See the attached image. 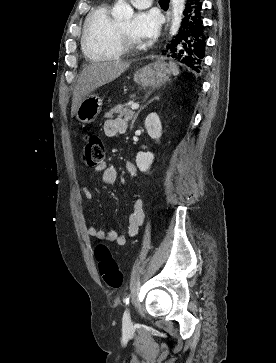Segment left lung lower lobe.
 I'll return each mask as SVG.
<instances>
[{
    "label": "left lung lower lobe",
    "instance_id": "1",
    "mask_svg": "<svg viewBox=\"0 0 276 363\" xmlns=\"http://www.w3.org/2000/svg\"><path fill=\"white\" fill-rule=\"evenodd\" d=\"M201 8L202 0H186L179 32L165 50L169 57L196 72H200L205 49Z\"/></svg>",
    "mask_w": 276,
    "mask_h": 363
}]
</instances>
